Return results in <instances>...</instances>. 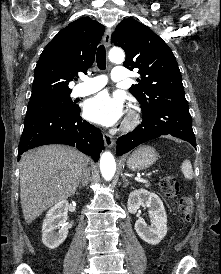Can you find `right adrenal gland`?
I'll return each mask as SVG.
<instances>
[{"instance_id": "1", "label": "right adrenal gland", "mask_w": 221, "mask_h": 274, "mask_svg": "<svg viewBox=\"0 0 221 274\" xmlns=\"http://www.w3.org/2000/svg\"><path fill=\"white\" fill-rule=\"evenodd\" d=\"M89 176H90V171H89V169H86L85 173H84V175L82 177V180H81V182L79 184V188H82V187H84V186H86L88 184Z\"/></svg>"}]
</instances>
